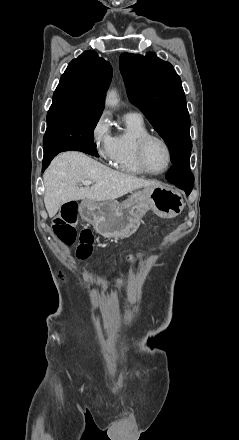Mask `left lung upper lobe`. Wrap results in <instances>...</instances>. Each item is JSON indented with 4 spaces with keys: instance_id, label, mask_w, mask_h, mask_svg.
<instances>
[{
    "instance_id": "1",
    "label": "left lung upper lobe",
    "mask_w": 239,
    "mask_h": 440,
    "mask_svg": "<svg viewBox=\"0 0 239 440\" xmlns=\"http://www.w3.org/2000/svg\"><path fill=\"white\" fill-rule=\"evenodd\" d=\"M129 100L148 118L172 152V162L190 157V117L181 79L155 53L120 55Z\"/></svg>"
}]
</instances>
